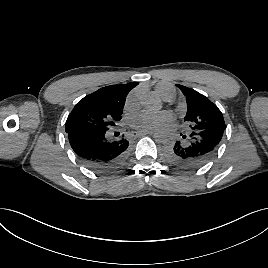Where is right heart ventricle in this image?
I'll list each match as a JSON object with an SVG mask.
<instances>
[{
    "mask_svg": "<svg viewBox=\"0 0 268 268\" xmlns=\"http://www.w3.org/2000/svg\"><path fill=\"white\" fill-rule=\"evenodd\" d=\"M156 92L165 100H170L173 97V90L164 84H160L156 87Z\"/></svg>",
    "mask_w": 268,
    "mask_h": 268,
    "instance_id": "1",
    "label": "right heart ventricle"
}]
</instances>
